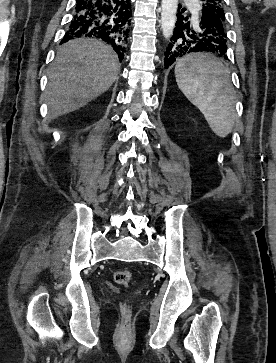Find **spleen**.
Returning <instances> with one entry per match:
<instances>
[{
	"instance_id": "obj_1",
	"label": "spleen",
	"mask_w": 276,
	"mask_h": 363,
	"mask_svg": "<svg viewBox=\"0 0 276 363\" xmlns=\"http://www.w3.org/2000/svg\"><path fill=\"white\" fill-rule=\"evenodd\" d=\"M174 73L179 89L215 135L227 137L235 122V98L222 60L210 53L187 55L177 61Z\"/></svg>"
}]
</instances>
